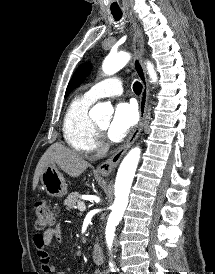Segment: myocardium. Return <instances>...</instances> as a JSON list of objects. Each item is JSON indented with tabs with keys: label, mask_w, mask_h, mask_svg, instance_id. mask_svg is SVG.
Segmentation results:
<instances>
[{
	"label": "myocardium",
	"mask_w": 215,
	"mask_h": 274,
	"mask_svg": "<svg viewBox=\"0 0 215 274\" xmlns=\"http://www.w3.org/2000/svg\"><path fill=\"white\" fill-rule=\"evenodd\" d=\"M94 124H95V123H94ZM95 128H96V130H98V131L103 130L98 124H95Z\"/></svg>",
	"instance_id": "f54148a6"
}]
</instances>
